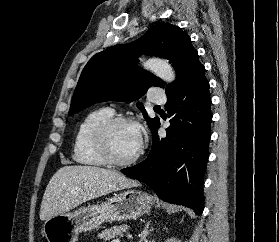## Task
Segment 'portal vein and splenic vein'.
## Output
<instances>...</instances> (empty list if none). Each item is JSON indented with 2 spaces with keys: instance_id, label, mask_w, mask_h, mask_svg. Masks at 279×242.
Segmentation results:
<instances>
[{
  "instance_id": "1",
  "label": "portal vein and splenic vein",
  "mask_w": 279,
  "mask_h": 242,
  "mask_svg": "<svg viewBox=\"0 0 279 242\" xmlns=\"http://www.w3.org/2000/svg\"><path fill=\"white\" fill-rule=\"evenodd\" d=\"M113 242H119V240H114Z\"/></svg>"
}]
</instances>
